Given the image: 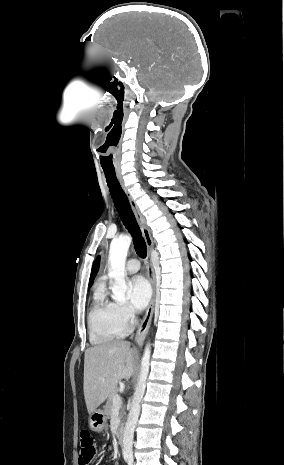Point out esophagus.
Here are the masks:
<instances>
[{
  "instance_id": "obj_1",
  "label": "esophagus",
  "mask_w": 284,
  "mask_h": 465,
  "mask_svg": "<svg viewBox=\"0 0 284 465\" xmlns=\"http://www.w3.org/2000/svg\"><path fill=\"white\" fill-rule=\"evenodd\" d=\"M116 175H117L118 181L120 182V185H121L124 193L126 194L128 200H129V203H130L131 208H132V210L134 212L137 223H138V225H139V227L141 229V232H142V235H143V238L145 240L146 247H147L146 269H147V277H148V279H149V281L151 283V286H152V298H151V301H150V303H149V305L147 307L145 316H144L142 322L140 323V325H139V327L137 329L136 335H135V343L140 345V344H142L143 339H144V337H145L146 333L148 332L149 327L151 325V321H152V317H153V313H154V305H155L156 279H155L154 267L152 265V260H151V250H152V247H153V240H152V237H151L150 230L146 225L145 218L143 217L142 213L140 212L136 201L134 200V198L132 197V195L130 194V192L128 191V189L124 185V181L122 179V175H121L120 170H116Z\"/></svg>"
}]
</instances>
